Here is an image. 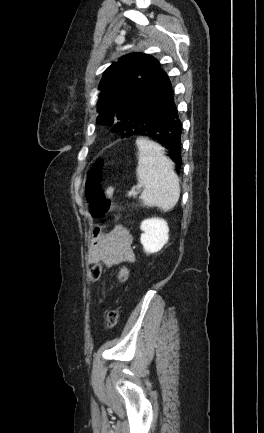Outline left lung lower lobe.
I'll list each match as a JSON object with an SVG mask.
<instances>
[{
  "instance_id": "obj_1",
  "label": "left lung lower lobe",
  "mask_w": 264,
  "mask_h": 433,
  "mask_svg": "<svg viewBox=\"0 0 264 433\" xmlns=\"http://www.w3.org/2000/svg\"><path fill=\"white\" fill-rule=\"evenodd\" d=\"M127 136H145L169 151L180 172L181 130L171 82L162 72L130 106L120 121Z\"/></svg>"
}]
</instances>
